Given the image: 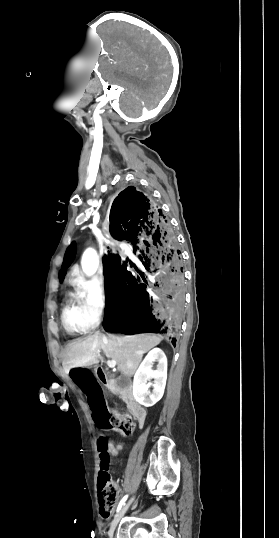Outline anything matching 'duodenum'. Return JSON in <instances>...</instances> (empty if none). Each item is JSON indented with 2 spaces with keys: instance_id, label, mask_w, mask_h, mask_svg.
Here are the masks:
<instances>
[{
  "instance_id": "obj_1",
  "label": "duodenum",
  "mask_w": 279,
  "mask_h": 538,
  "mask_svg": "<svg viewBox=\"0 0 279 538\" xmlns=\"http://www.w3.org/2000/svg\"><path fill=\"white\" fill-rule=\"evenodd\" d=\"M94 377L96 380L99 381L100 385H103L105 388H112L114 387V390H119V387L117 386L116 382H112L113 378L111 374L108 371V368L106 366H103L102 364H99L95 368ZM133 390V382H127V387L125 393L122 395V398L124 400L128 399V404L126 406V409L128 413L133 414V418L135 419V428L142 429L144 427V424L147 422L145 410L141 409V406L139 402H135V396L132 394Z\"/></svg>"
}]
</instances>
